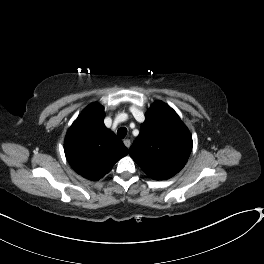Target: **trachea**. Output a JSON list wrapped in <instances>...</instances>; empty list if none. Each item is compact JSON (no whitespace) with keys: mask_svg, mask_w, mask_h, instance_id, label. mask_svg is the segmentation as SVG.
<instances>
[{"mask_svg":"<svg viewBox=\"0 0 264 264\" xmlns=\"http://www.w3.org/2000/svg\"><path fill=\"white\" fill-rule=\"evenodd\" d=\"M117 134L120 138H124L127 134V129L125 127H121L117 130Z\"/></svg>","mask_w":264,"mask_h":264,"instance_id":"obj_1","label":"trachea"}]
</instances>
